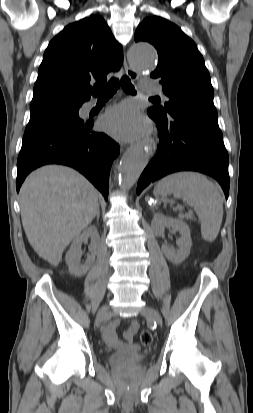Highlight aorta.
Masks as SVG:
<instances>
[{
    "mask_svg": "<svg viewBox=\"0 0 253 413\" xmlns=\"http://www.w3.org/2000/svg\"><path fill=\"white\" fill-rule=\"evenodd\" d=\"M129 58L137 71L152 70L157 61L154 47L146 42L134 43ZM150 158V143L143 142L132 146L122 157L119 166V180L123 190L130 189L138 180Z\"/></svg>",
    "mask_w": 253,
    "mask_h": 413,
    "instance_id": "aorta-1",
    "label": "aorta"
}]
</instances>
